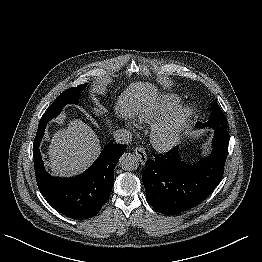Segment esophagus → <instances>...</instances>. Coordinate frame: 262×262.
Masks as SVG:
<instances>
[{
  "label": "esophagus",
  "mask_w": 262,
  "mask_h": 262,
  "mask_svg": "<svg viewBox=\"0 0 262 262\" xmlns=\"http://www.w3.org/2000/svg\"><path fill=\"white\" fill-rule=\"evenodd\" d=\"M136 156L138 157L141 164H145L147 161V154L145 152V149L143 147H137L134 150Z\"/></svg>",
  "instance_id": "esophagus-1"
}]
</instances>
